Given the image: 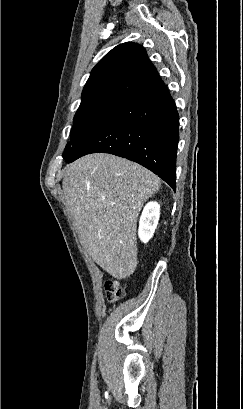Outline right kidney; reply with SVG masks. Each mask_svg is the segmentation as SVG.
<instances>
[{
    "mask_svg": "<svg viewBox=\"0 0 243 409\" xmlns=\"http://www.w3.org/2000/svg\"><path fill=\"white\" fill-rule=\"evenodd\" d=\"M160 216V205L155 202H148L144 207L140 221H139V229L138 235L142 242H148L158 225Z\"/></svg>",
    "mask_w": 243,
    "mask_h": 409,
    "instance_id": "ca27d5eb",
    "label": "right kidney"
}]
</instances>
